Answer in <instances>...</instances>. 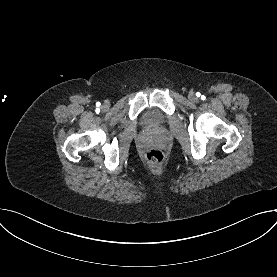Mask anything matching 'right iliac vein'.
Masks as SVG:
<instances>
[{
	"mask_svg": "<svg viewBox=\"0 0 277 277\" xmlns=\"http://www.w3.org/2000/svg\"><path fill=\"white\" fill-rule=\"evenodd\" d=\"M107 108H108V105H107V104H104V105L102 106V110H107Z\"/></svg>",
	"mask_w": 277,
	"mask_h": 277,
	"instance_id": "63e3f726",
	"label": "right iliac vein"
}]
</instances>
